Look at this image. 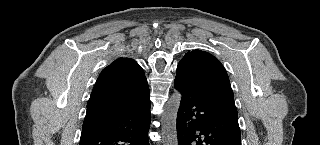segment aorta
Masks as SVG:
<instances>
[{"label":"aorta","instance_id":"aorta-1","mask_svg":"<svg viewBox=\"0 0 320 145\" xmlns=\"http://www.w3.org/2000/svg\"><path fill=\"white\" fill-rule=\"evenodd\" d=\"M181 102V94L174 92L165 106V112L162 116V131L164 145H177V114Z\"/></svg>","mask_w":320,"mask_h":145}]
</instances>
